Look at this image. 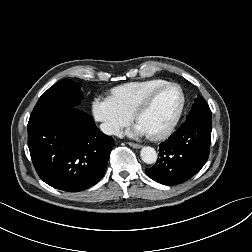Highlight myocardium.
Instances as JSON below:
<instances>
[{
	"label": "myocardium",
	"instance_id": "obj_1",
	"mask_svg": "<svg viewBox=\"0 0 252 252\" xmlns=\"http://www.w3.org/2000/svg\"><path fill=\"white\" fill-rule=\"evenodd\" d=\"M168 87H176L179 89L180 93H181V104H180V107L173 119V121L171 122V124L164 130L158 132V133H153V134H150V136L153 138V139H164L168 136H170L175 128L177 127L183 113H184V110H185V107H186V94H185V91L184 89L182 88V86L178 83H175V82H166L154 89H152L144 98L143 100L137 105L135 111H134V118L136 120L139 119L140 115L145 111L147 110L151 104L153 103L155 97L158 95L159 92H161L163 89L165 88H168Z\"/></svg>",
	"mask_w": 252,
	"mask_h": 252
}]
</instances>
